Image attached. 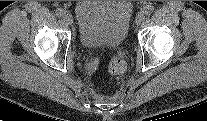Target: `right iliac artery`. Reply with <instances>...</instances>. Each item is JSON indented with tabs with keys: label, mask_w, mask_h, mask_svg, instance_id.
<instances>
[{
	"label": "right iliac artery",
	"mask_w": 207,
	"mask_h": 121,
	"mask_svg": "<svg viewBox=\"0 0 207 121\" xmlns=\"http://www.w3.org/2000/svg\"><path fill=\"white\" fill-rule=\"evenodd\" d=\"M55 13L58 17H62L64 15L65 11L62 8H57Z\"/></svg>",
	"instance_id": "obj_1"
}]
</instances>
